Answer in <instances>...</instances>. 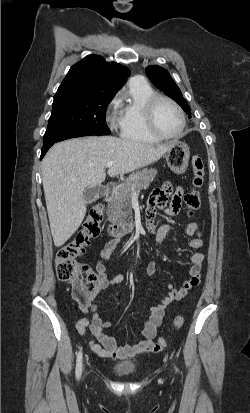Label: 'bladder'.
I'll list each match as a JSON object with an SVG mask.
<instances>
[{
    "mask_svg": "<svg viewBox=\"0 0 250 413\" xmlns=\"http://www.w3.org/2000/svg\"><path fill=\"white\" fill-rule=\"evenodd\" d=\"M111 370L117 376L125 377L135 373L136 365L133 363H119L113 365Z\"/></svg>",
    "mask_w": 250,
    "mask_h": 413,
    "instance_id": "31cf9c89",
    "label": "bladder"
}]
</instances>
